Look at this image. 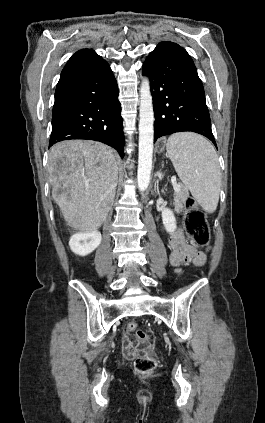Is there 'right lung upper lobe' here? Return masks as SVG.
Returning <instances> with one entry per match:
<instances>
[{
    "label": "right lung upper lobe",
    "instance_id": "obj_1",
    "mask_svg": "<svg viewBox=\"0 0 265 423\" xmlns=\"http://www.w3.org/2000/svg\"><path fill=\"white\" fill-rule=\"evenodd\" d=\"M79 54H95V52L93 50H90V49H83V50L76 52L73 56L79 55Z\"/></svg>",
    "mask_w": 265,
    "mask_h": 423
}]
</instances>
